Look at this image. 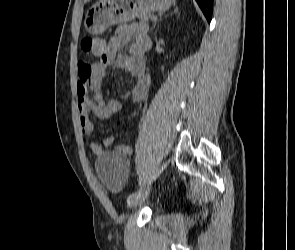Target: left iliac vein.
<instances>
[{
  "instance_id": "4c4485c4",
  "label": "left iliac vein",
  "mask_w": 295,
  "mask_h": 250,
  "mask_svg": "<svg viewBox=\"0 0 295 250\" xmlns=\"http://www.w3.org/2000/svg\"><path fill=\"white\" fill-rule=\"evenodd\" d=\"M150 191H151V188L142 190L140 195L130 202V206L136 207L137 205L142 204L144 200L146 199V197L148 196V194L150 193Z\"/></svg>"
}]
</instances>
